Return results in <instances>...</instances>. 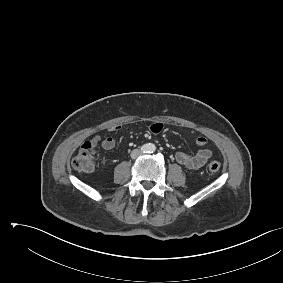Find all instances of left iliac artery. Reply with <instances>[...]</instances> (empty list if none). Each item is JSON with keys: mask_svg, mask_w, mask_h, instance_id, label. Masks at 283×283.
<instances>
[{"mask_svg": "<svg viewBox=\"0 0 283 283\" xmlns=\"http://www.w3.org/2000/svg\"><path fill=\"white\" fill-rule=\"evenodd\" d=\"M150 151H151V153H153L155 151V146L154 145H151Z\"/></svg>", "mask_w": 283, "mask_h": 283, "instance_id": "obj_1", "label": "left iliac artery"}]
</instances>
